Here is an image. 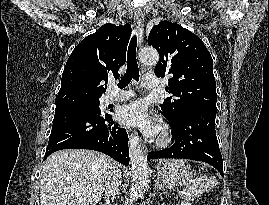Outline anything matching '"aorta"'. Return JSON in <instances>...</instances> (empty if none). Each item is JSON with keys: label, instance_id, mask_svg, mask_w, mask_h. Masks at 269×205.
I'll return each instance as SVG.
<instances>
[{"label": "aorta", "instance_id": "obj_1", "mask_svg": "<svg viewBox=\"0 0 269 205\" xmlns=\"http://www.w3.org/2000/svg\"><path fill=\"white\" fill-rule=\"evenodd\" d=\"M140 60L144 64L156 65L159 61V54L155 49L146 48L140 52ZM129 156L132 173L130 194L125 205H131L140 198L149 182V171L147 159L139 145L138 136L132 135L129 140Z\"/></svg>", "mask_w": 269, "mask_h": 205}]
</instances>
